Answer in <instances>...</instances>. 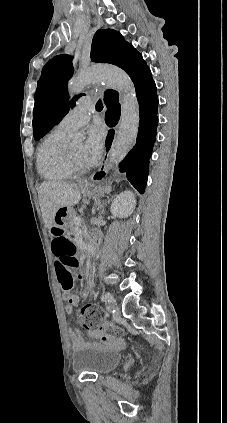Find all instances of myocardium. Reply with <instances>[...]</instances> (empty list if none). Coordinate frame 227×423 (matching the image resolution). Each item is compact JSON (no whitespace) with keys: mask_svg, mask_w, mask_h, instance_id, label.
<instances>
[{"mask_svg":"<svg viewBox=\"0 0 227 423\" xmlns=\"http://www.w3.org/2000/svg\"><path fill=\"white\" fill-rule=\"evenodd\" d=\"M67 158L69 161L70 168L73 173H81L88 170L86 164L81 163L72 153L71 149L67 150Z\"/></svg>","mask_w":227,"mask_h":423,"instance_id":"myocardium-1","label":"myocardium"}]
</instances>
